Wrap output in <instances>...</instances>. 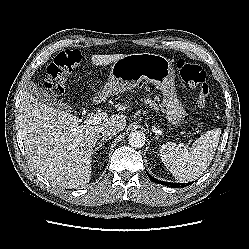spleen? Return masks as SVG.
Returning <instances> with one entry per match:
<instances>
[{
    "label": "spleen",
    "instance_id": "3e777b00",
    "mask_svg": "<svg viewBox=\"0 0 249 249\" xmlns=\"http://www.w3.org/2000/svg\"><path fill=\"white\" fill-rule=\"evenodd\" d=\"M220 134L219 128L206 132L193 142L189 150L183 149L180 144L167 142L160 148L161 160L177 180L193 181L213 160Z\"/></svg>",
    "mask_w": 249,
    "mask_h": 249
}]
</instances>
